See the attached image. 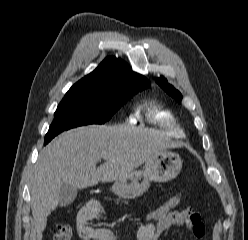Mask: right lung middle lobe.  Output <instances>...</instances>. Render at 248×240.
<instances>
[{
  "instance_id": "obj_1",
  "label": "right lung middle lobe",
  "mask_w": 248,
  "mask_h": 240,
  "mask_svg": "<svg viewBox=\"0 0 248 240\" xmlns=\"http://www.w3.org/2000/svg\"><path fill=\"white\" fill-rule=\"evenodd\" d=\"M150 83L126 81L105 89L69 90L54 113L45 144L64 130L88 124H104L134 94Z\"/></svg>"
}]
</instances>
